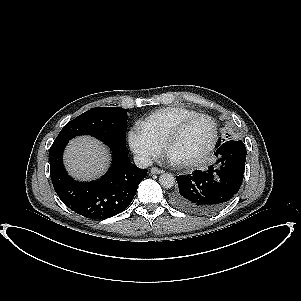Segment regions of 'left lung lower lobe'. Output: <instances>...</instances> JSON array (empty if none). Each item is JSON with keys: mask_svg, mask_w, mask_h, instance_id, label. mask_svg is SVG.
<instances>
[{"mask_svg": "<svg viewBox=\"0 0 301 301\" xmlns=\"http://www.w3.org/2000/svg\"><path fill=\"white\" fill-rule=\"evenodd\" d=\"M218 160L205 172L176 177L178 187L171 197L177 208L210 214L226 206L238 193L244 177L246 147L242 141L218 143Z\"/></svg>", "mask_w": 301, "mask_h": 301, "instance_id": "left-lung-lower-lobe-1", "label": "left lung lower lobe"}]
</instances>
